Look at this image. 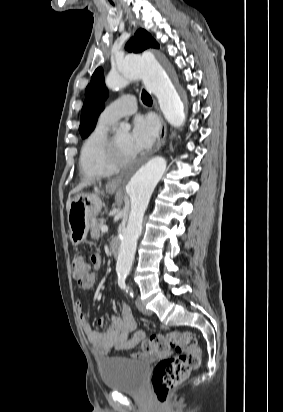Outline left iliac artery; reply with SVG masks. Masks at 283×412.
I'll return each instance as SVG.
<instances>
[{
    "label": "left iliac artery",
    "instance_id": "obj_1",
    "mask_svg": "<svg viewBox=\"0 0 283 412\" xmlns=\"http://www.w3.org/2000/svg\"><path fill=\"white\" fill-rule=\"evenodd\" d=\"M125 278H126L125 274L118 275V284L122 289H126ZM130 295L133 297L132 291H130Z\"/></svg>",
    "mask_w": 283,
    "mask_h": 412
}]
</instances>
